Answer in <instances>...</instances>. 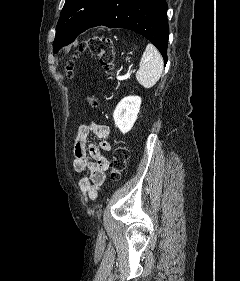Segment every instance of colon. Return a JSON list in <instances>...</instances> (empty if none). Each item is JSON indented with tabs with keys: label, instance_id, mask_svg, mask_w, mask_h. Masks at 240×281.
Wrapping results in <instances>:
<instances>
[{
	"label": "colon",
	"instance_id": "obj_1",
	"mask_svg": "<svg viewBox=\"0 0 240 281\" xmlns=\"http://www.w3.org/2000/svg\"><path fill=\"white\" fill-rule=\"evenodd\" d=\"M87 48L92 54L96 55L108 74H111L114 68L115 51L113 42L110 38L94 35L91 37L87 44L81 48ZM74 62L69 60L66 64V71L70 77L73 74ZM88 104L92 108H96L99 105L98 97L93 94L88 97ZM129 158V151L127 147L123 144L117 145L113 152V157L111 161V178L117 180L122 176Z\"/></svg>",
	"mask_w": 240,
	"mask_h": 281
}]
</instances>
